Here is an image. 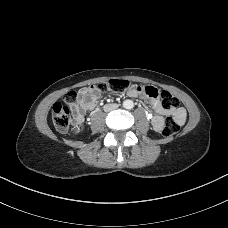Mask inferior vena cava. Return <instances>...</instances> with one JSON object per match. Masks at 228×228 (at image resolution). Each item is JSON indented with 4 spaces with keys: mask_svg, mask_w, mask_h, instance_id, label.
<instances>
[{
    "mask_svg": "<svg viewBox=\"0 0 228 228\" xmlns=\"http://www.w3.org/2000/svg\"><path fill=\"white\" fill-rule=\"evenodd\" d=\"M117 108H118L117 104H107V105H104V107H103L105 112H110V111L115 110Z\"/></svg>",
    "mask_w": 228,
    "mask_h": 228,
    "instance_id": "602c4592",
    "label": "inferior vena cava"
}]
</instances>
